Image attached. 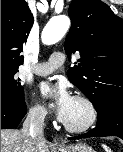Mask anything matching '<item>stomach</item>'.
I'll use <instances>...</instances> for the list:
<instances>
[{
	"mask_svg": "<svg viewBox=\"0 0 123 152\" xmlns=\"http://www.w3.org/2000/svg\"><path fill=\"white\" fill-rule=\"evenodd\" d=\"M58 152H95L90 146L78 143L75 145H69L63 148H58Z\"/></svg>",
	"mask_w": 123,
	"mask_h": 152,
	"instance_id": "obj_1",
	"label": "stomach"
}]
</instances>
